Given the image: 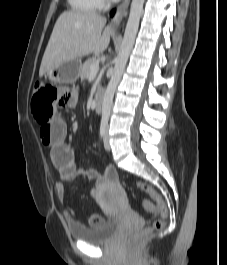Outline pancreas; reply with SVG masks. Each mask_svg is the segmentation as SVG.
I'll use <instances>...</instances> for the list:
<instances>
[{
    "mask_svg": "<svg viewBox=\"0 0 227 265\" xmlns=\"http://www.w3.org/2000/svg\"><path fill=\"white\" fill-rule=\"evenodd\" d=\"M99 63V59L97 57L89 58L84 62L81 67L80 77L81 79H86L90 75V68L92 65Z\"/></svg>",
    "mask_w": 227,
    "mask_h": 265,
    "instance_id": "pancreas-1",
    "label": "pancreas"
}]
</instances>
